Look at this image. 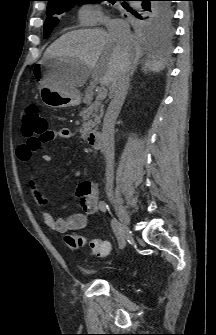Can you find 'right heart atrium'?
Returning a JSON list of instances; mask_svg holds the SVG:
<instances>
[{
	"label": "right heart atrium",
	"instance_id": "1",
	"mask_svg": "<svg viewBox=\"0 0 216 335\" xmlns=\"http://www.w3.org/2000/svg\"><path fill=\"white\" fill-rule=\"evenodd\" d=\"M78 17L82 25L96 26L109 22V18L100 7L94 4H84L78 11Z\"/></svg>",
	"mask_w": 216,
	"mask_h": 335
}]
</instances>
